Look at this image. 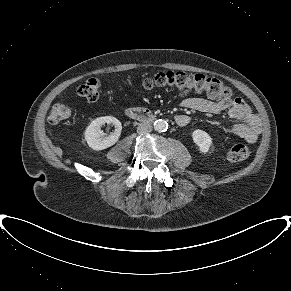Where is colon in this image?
I'll use <instances>...</instances> for the list:
<instances>
[{
	"instance_id": "5ec220e1",
	"label": "colon",
	"mask_w": 291,
	"mask_h": 291,
	"mask_svg": "<svg viewBox=\"0 0 291 291\" xmlns=\"http://www.w3.org/2000/svg\"><path fill=\"white\" fill-rule=\"evenodd\" d=\"M146 90H176L179 92H205L211 99L225 100L232 98V90L220 79L203 74H187L180 71H165L143 81ZM101 83L96 78H90L80 85L77 94L88 101H97L100 97ZM71 115V109L65 104H57L50 114V121L58 123ZM249 147L245 143H236L228 151V159L240 162L249 157Z\"/></svg>"
}]
</instances>
